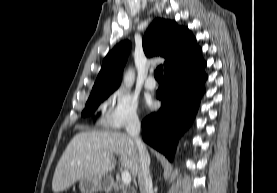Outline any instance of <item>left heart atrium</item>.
<instances>
[{
	"mask_svg": "<svg viewBox=\"0 0 277 193\" xmlns=\"http://www.w3.org/2000/svg\"><path fill=\"white\" fill-rule=\"evenodd\" d=\"M147 104H148V106L151 107V106H152V101L149 100V101L147 102Z\"/></svg>",
	"mask_w": 277,
	"mask_h": 193,
	"instance_id": "39dd6f15",
	"label": "left heart atrium"
}]
</instances>
